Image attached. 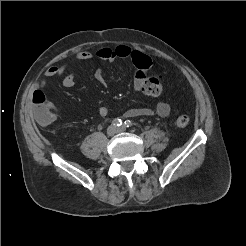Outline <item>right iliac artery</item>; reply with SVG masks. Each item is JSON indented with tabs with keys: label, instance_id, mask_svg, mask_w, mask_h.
Returning a JSON list of instances; mask_svg holds the SVG:
<instances>
[{
	"label": "right iliac artery",
	"instance_id": "right-iliac-artery-1",
	"mask_svg": "<svg viewBox=\"0 0 246 246\" xmlns=\"http://www.w3.org/2000/svg\"><path fill=\"white\" fill-rule=\"evenodd\" d=\"M113 126H121L122 125V120L119 118H116L112 121Z\"/></svg>",
	"mask_w": 246,
	"mask_h": 246
}]
</instances>
